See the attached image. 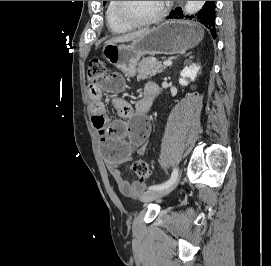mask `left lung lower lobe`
<instances>
[{
	"mask_svg": "<svg viewBox=\"0 0 271 266\" xmlns=\"http://www.w3.org/2000/svg\"><path fill=\"white\" fill-rule=\"evenodd\" d=\"M183 17V11L177 8L170 13L168 18L181 19ZM185 18L195 19V21L203 24L211 32L213 37L216 36L215 1H206L202 9L195 16H185Z\"/></svg>",
	"mask_w": 271,
	"mask_h": 266,
	"instance_id": "0a47b994",
	"label": "left lung lower lobe"
}]
</instances>
